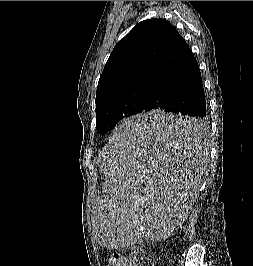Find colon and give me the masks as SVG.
Masks as SVG:
<instances>
[{"label": "colon", "instance_id": "colon-1", "mask_svg": "<svg viewBox=\"0 0 253 266\" xmlns=\"http://www.w3.org/2000/svg\"><path fill=\"white\" fill-rule=\"evenodd\" d=\"M108 266H125V260L117 253H113L108 258Z\"/></svg>", "mask_w": 253, "mask_h": 266}]
</instances>
